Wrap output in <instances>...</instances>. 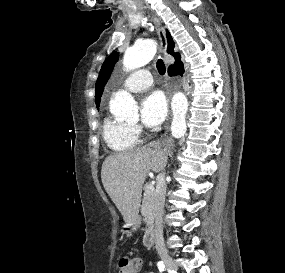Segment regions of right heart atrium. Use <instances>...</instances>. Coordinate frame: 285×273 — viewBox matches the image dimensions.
I'll return each mask as SVG.
<instances>
[{
    "mask_svg": "<svg viewBox=\"0 0 285 273\" xmlns=\"http://www.w3.org/2000/svg\"><path fill=\"white\" fill-rule=\"evenodd\" d=\"M133 128H134V130H135L136 132H138V131H139V127L134 126Z\"/></svg>",
    "mask_w": 285,
    "mask_h": 273,
    "instance_id": "obj_1",
    "label": "right heart atrium"
}]
</instances>
